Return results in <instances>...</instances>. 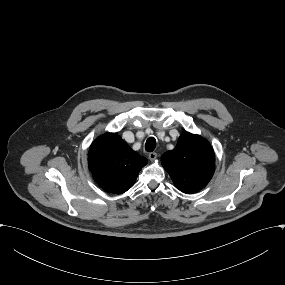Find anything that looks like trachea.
I'll list each match as a JSON object with an SVG mask.
<instances>
[{
  "mask_svg": "<svg viewBox=\"0 0 285 285\" xmlns=\"http://www.w3.org/2000/svg\"><path fill=\"white\" fill-rule=\"evenodd\" d=\"M155 147H156V139L153 137H149L145 144V150L147 152H152L154 151Z\"/></svg>",
  "mask_w": 285,
  "mask_h": 285,
  "instance_id": "obj_1",
  "label": "trachea"
}]
</instances>
